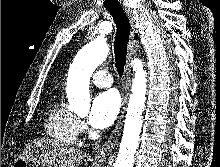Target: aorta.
Here are the masks:
<instances>
[{"instance_id": "obj_1", "label": "aorta", "mask_w": 220, "mask_h": 167, "mask_svg": "<svg viewBox=\"0 0 220 167\" xmlns=\"http://www.w3.org/2000/svg\"><path fill=\"white\" fill-rule=\"evenodd\" d=\"M109 48L101 39H95L85 45L76 55L70 66L67 78V98L69 109L78 115H87L90 109L89 84L92 73L103 63ZM135 76L127 108L124 132L119 154L113 167H133L135 153L143 122V110L146 100V72L140 60L133 61Z\"/></svg>"}]
</instances>
